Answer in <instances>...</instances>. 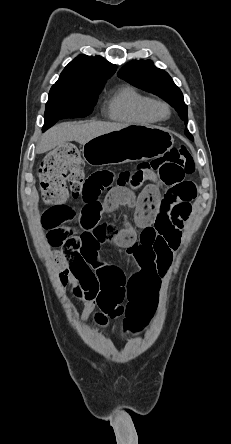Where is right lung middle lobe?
<instances>
[{
  "label": "right lung middle lobe",
  "instance_id": "obj_1",
  "mask_svg": "<svg viewBox=\"0 0 231 444\" xmlns=\"http://www.w3.org/2000/svg\"><path fill=\"white\" fill-rule=\"evenodd\" d=\"M101 91L50 90L46 103L43 131L64 118H82L89 115Z\"/></svg>",
  "mask_w": 231,
  "mask_h": 444
}]
</instances>
